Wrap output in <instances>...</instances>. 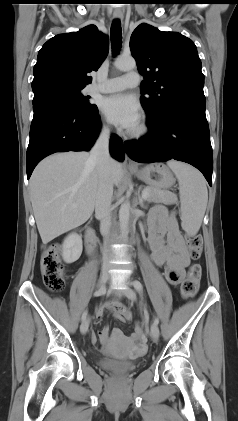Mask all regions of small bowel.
I'll list each match as a JSON object with an SVG mask.
<instances>
[{"label":"small bowel","mask_w":238,"mask_h":421,"mask_svg":"<svg viewBox=\"0 0 238 421\" xmlns=\"http://www.w3.org/2000/svg\"><path fill=\"white\" fill-rule=\"evenodd\" d=\"M148 241L153 262L157 266L165 268V275L170 283L175 285L180 283L190 265L189 254L177 219L166 208L155 207L152 209L148 218ZM105 309L111 311L119 321L131 319L130 311L119 301H107L102 307H99L96 311L97 318L103 317ZM98 335L103 347H107L111 343L142 345L144 342L143 330L140 325L136 326L130 337L124 336L120 329L110 332L107 326L103 327ZM92 342H97L95 334L92 335Z\"/></svg>","instance_id":"c3829d8e"}]
</instances>
